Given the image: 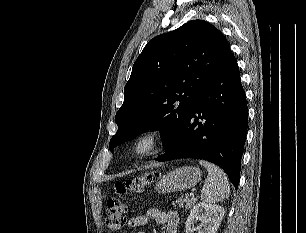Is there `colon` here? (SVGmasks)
<instances>
[{"mask_svg":"<svg viewBox=\"0 0 306 233\" xmlns=\"http://www.w3.org/2000/svg\"><path fill=\"white\" fill-rule=\"evenodd\" d=\"M156 176L155 172H151L126 182H116L113 186L114 192L117 196L140 192L145 186L153 182ZM126 213V206L118 197L108 199L105 211L106 227L111 231L120 230L125 222Z\"/></svg>","mask_w":306,"mask_h":233,"instance_id":"colon-1","label":"colon"}]
</instances>
